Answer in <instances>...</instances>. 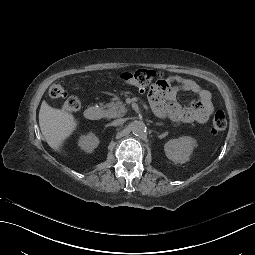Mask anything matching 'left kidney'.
Masks as SVG:
<instances>
[{
  "label": "left kidney",
  "instance_id": "5707ae66",
  "mask_svg": "<svg viewBox=\"0 0 255 255\" xmlns=\"http://www.w3.org/2000/svg\"><path fill=\"white\" fill-rule=\"evenodd\" d=\"M197 145L196 140L190 136L171 139L164 145L165 154L168 159L175 163L183 164L189 161V157Z\"/></svg>",
  "mask_w": 255,
  "mask_h": 255
}]
</instances>
